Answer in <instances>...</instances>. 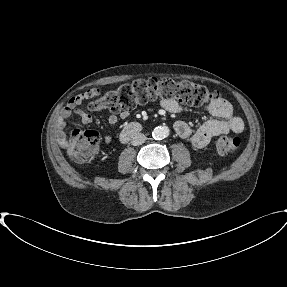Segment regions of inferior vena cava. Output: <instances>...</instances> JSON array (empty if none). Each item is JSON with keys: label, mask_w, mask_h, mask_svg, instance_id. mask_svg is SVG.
Returning <instances> with one entry per match:
<instances>
[{"label": "inferior vena cava", "mask_w": 287, "mask_h": 287, "mask_svg": "<svg viewBox=\"0 0 287 287\" xmlns=\"http://www.w3.org/2000/svg\"><path fill=\"white\" fill-rule=\"evenodd\" d=\"M146 140V136L142 133H136L131 137V144L133 146H139Z\"/></svg>", "instance_id": "602c4592"}]
</instances>
